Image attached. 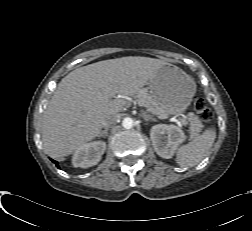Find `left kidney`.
Masks as SVG:
<instances>
[{
	"label": "left kidney",
	"instance_id": "1",
	"mask_svg": "<svg viewBox=\"0 0 252 231\" xmlns=\"http://www.w3.org/2000/svg\"><path fill=\"white\" fill-rule=\"evenodd\" d=\"M150 138L156 153L162 158L170 159L186 136L183 130L175 125L158 124L151 128Z\"/></svg>",
	"mask_w": 252,
	"mask_h": 231
}]
</instances>
